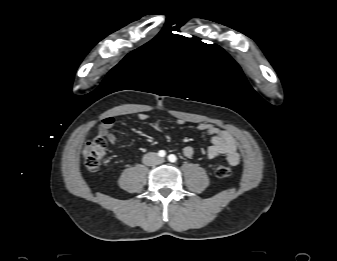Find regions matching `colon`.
<instances>
[{
  "mask_svg": "<svg viewBox=\"0 0 337 261\" xmlns=\"http://www.w3.org/2000/svg\"><path fill=\"white\" fill-rule=\"evenodd\" d=\"M106 153V141L103 137H96L86 143L83 150L84 162L87 169L95 172L99 169ZM215 173L219 178H227L231 174V169L226 163L219 164Z\"/></svg>",
  "mask_w": 337,
  "mask_h": 261,
  "instance_id": "5ec220e1",
  "label": "colon"
}]
</instances>
